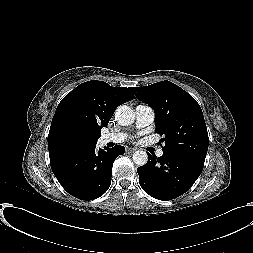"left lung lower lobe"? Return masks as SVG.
Here are the masks:
<instances>
[{
  "label": "left lung lower lobe",
  "mask_w": 253,
  "mask_h": 253,
  "mask_svg": "<svg viewBox=\"0 0 253 253\" xmlns=\"http://www.w3.org/2000/svg\"><path fill=\"white\" fill-rule=\"evenodd\" d=\"M204 163L193 158L163 152L139 167V183L143 190L158 200H172L186 193L203 170Z\"/></svg>",
  "instance_id": "left-lung-lower-lobe-1"
}]
</instances>
